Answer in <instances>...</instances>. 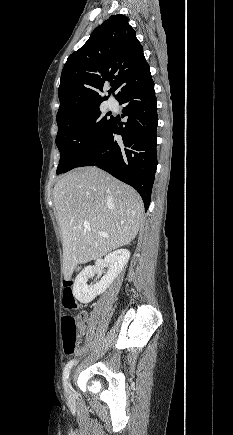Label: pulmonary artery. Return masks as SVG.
<instances>
[{"label": "pulmonary artery", "mask_w": 233, "mask_h": 435, "mask_svg": "<svg viewBox=\"0 0 233 435\" xmlns=\"http://www.w3.org/2000/svg\"><path fill=\"white\" fill-rule=\"evenodd\" d=\"M115 100L114 99H112V98H110V99H108V101H107V107L109 108V109H113L114 107H115Z\"/></svg>", "instance_id": "pulmonary-artery-1"}]
</instances>
